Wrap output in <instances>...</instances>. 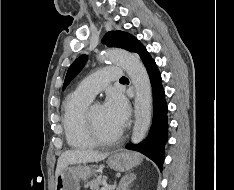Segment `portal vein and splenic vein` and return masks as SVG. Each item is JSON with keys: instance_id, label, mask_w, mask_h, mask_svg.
Returning <instances> with one entry per match:
<instances>
[{"instance_id": "portal-vein-and-splenic-vein-1", "label": "portal vein and splenic vein", "mask_w": 234, "mask_h": 190, "mask_svg": "<svg viewBox=\"0 0 234 190\" xmlns=\"http://www.w3.org/2000/svg\"><path fill=\"white\" fill-rule=\"evenodd\" d=\"M101 190H109V187L106 185V186L102 187Z\"/></svg>"}]
</instances>
